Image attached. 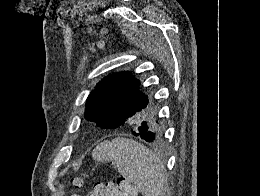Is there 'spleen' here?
<instances>
[{
    "label": "spleen",
    "mask_w": 260,
    "mask_h": 196,
    "mask_svg": "<svg viewBox=\"0 0 260 196\" xmlns=\"http://www.w3.org/2000/svg\"><path fill=\"white\" fill-rule=\"evenodd\" d=\"M95 162H111L125 182L142 196H160L167 186L166 170L158 156L135 140L114 138L98 144L92 152Z\"/></svg>",
    "instance_id": "obj_1"
}]
</instances>
